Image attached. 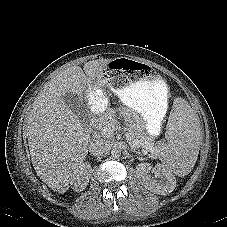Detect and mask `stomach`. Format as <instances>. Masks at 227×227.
Instances as JSON below:
<instances>
[{"mask_svg": "<svg viewBox=\"0 0 227 227\" xmlns=\"http://www.w3.org/2000/svg\"><path fill=\"white\" fill-rule=\"evenodd\" d=\"M111 91L130 109L142 114L147 122V133L157 134L167 109V85L156 67H150L138 58H122L110 63L104 73ZM89 103L94 111L104 112L108 101L99 84L88 88Z\"/></svg>", "mask_w": 227, "mask_h": 227, "instance_id": "stomach-1", "label": "stomach"}]
</instances>
